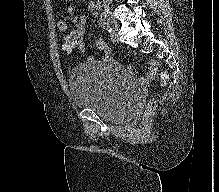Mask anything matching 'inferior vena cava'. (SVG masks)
<instances>
[{"mask_svg":"<svg viewBox=\"0 0 219 192\" xmlns=\"http://www.w3.org/2000/svg\"><path fill=\"white\" fill-rule=\"evenodd\" d=\"M104 2H108V1H111V0H103Z\"/></svg>","mask_w":219,"mask_h":192,"instance_id":"inferior-vena-cava-1","label":"inferior vena cava"}]
</instances>
